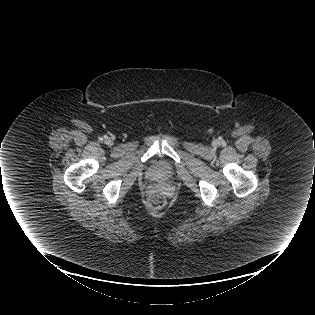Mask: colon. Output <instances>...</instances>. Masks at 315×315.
<instances>
[{
    "mask_svg": "<svg viewBox=\"0 0 315 315\" xmlns=\"http://www.w3.org/2000/svg\"><path fill=\"white\" fill-rule=\"evenodd\" d=\"M166 202L165 193L160 189L153 190L148 198V205L151 209H160Z\"/></svg>",
    "mask_w": 315,
    "mask_h": 315,
    "instance_id": "colon-1",
    "label": "colon"
}]
</instances>
